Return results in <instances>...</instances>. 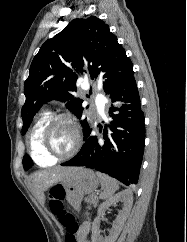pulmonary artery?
I'll list each match as a JSON object with an SVG mask.
<instances>
[{
    "mask_svg": "<svg viewBox=\"0 0 187 242\" xmlns=\"http://www.w3.org/2000/svg\"><path fill=\"white\" fill-rule=\"evenodd\" d=\"M99 109H100L101 111L103 110V108H102V107H100Z\"/></svg>",
    "mask_w": 187,
    "mask_h": 242,
    "instance_id": "1",
    "label": "pulmonary artery"
}]
</instances>
